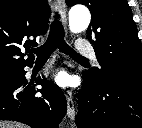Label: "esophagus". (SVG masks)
Listing matches in <instances>:
<instances>
[{
  "mask_svg": "<svg viewBox=\"0 0 142 128\" xmlns=\"http://www.w3.org/2000/svg\"><path fill=\"white\" fill-rule=\"evenodd\" d=\"M57 1H58L61 17H62V22L65 25L67 20L65 1L64 0H57ZM65 96L67 99V117L71 120H74L76 112H75L74 99H73L72 92L70 90H66Z\"/></svg>",
  "mask_w": 142,
  "mask_h": 128,
  "instance_id": "34e87169",
  "label": "esophagus"
}]
</instances>
